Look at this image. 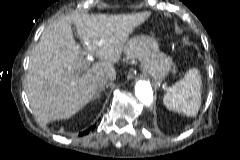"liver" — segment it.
<instances>
[{"instance_id":"6515ba94","label":"liver","mask_w":240,"mask_h":160,"mask_svg":"<svg viewBox=\"0 0 240 160\" xmlns=\"http://www.w3.org/2000/svg\"><path fill=\"white\" fill-rule=\"evenodd\" d=\"M150 15L75 14L50 24L32 51L26 76V92L37 120L70 118L94 98L102 79L114 80V63L130 45L129 35ZM93 56L101 62L89 67Z\"/></svg>"}]
</instances>
